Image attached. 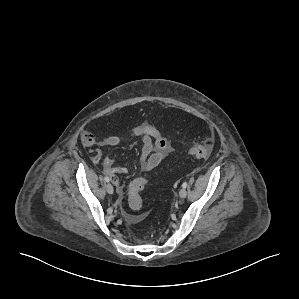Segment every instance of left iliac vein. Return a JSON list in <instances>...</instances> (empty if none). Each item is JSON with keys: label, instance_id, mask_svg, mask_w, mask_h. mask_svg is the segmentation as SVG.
I'll list each match as a JSON object with an SVG mask.
<instances>
[{"label": "left iliac vein", "instance_id": "1", "mask_svg": "<svg viewBox=\"0 0 299 299\" xmlns=\"http://www.w3.org/2000/svg\"><path fill=\"white\" fill-rule=\"evenodd\" d=\"M179 196L180 198H185L187 196V191L185 188L180 189Z\"/></svg>", "mask_w": 299, "mask_h": 299}]
</instances>
